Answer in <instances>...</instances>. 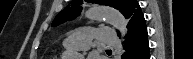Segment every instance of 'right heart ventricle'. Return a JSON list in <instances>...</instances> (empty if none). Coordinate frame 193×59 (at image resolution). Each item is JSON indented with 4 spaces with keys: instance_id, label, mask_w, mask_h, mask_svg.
Masks as SVG:
<instances>
[{
    "instance_id": "obj_1",
    "label": "right heart ventricle",
    "mask_w": 193,
    "mask_h": 59,
    "mask_svg": "<svg viewBox=\"0 0 193 59\" xmlns=\"http://www.w3.org/2000/svg\"><path fill=\"white\" fill-rule=\"evenodd\" d=\"M52 59H58L57 57H53Z\"/></svg>"
}]
</instances>
